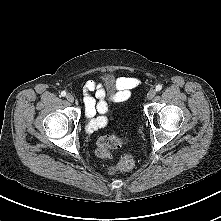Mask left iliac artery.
<instances>
[{
  "label": "left iliac artery",
  "instance_id": "1",
  "mask_svg": "<svg viewBox=\"0 0 221 221\" xmlns=\"http://www.w3.org/2000/svg\"><path fill=\"white\" fill-rule=\"evenodd\" d=\"M161 89H162V85L158 84V85L156 86V91H160Z\"/></svg>",
  "mask_w": 221,
  "mask_h": 221
}]
</instances>
